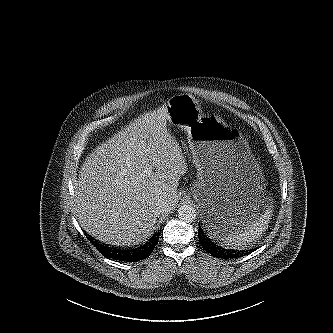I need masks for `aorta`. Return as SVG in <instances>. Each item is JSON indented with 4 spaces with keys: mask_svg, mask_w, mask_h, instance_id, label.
Here are the masks:
<instances>
[{
    "mask_svg": "<svg viewBox=\"0 0 333 333\" xmlns=\"http://www.w3.org/2000/svg\"><path fill=\"white\" fill-rule=\"evenodd\" d=\"M178 217L186 222H192L196 218V210L191 205H182L178 208Z\"/></svg>",
    "mask_w": 333,
    "mask_h": 333,
    "instance_id": "aorta-1",
    "label": "aorta"
}]
</instances>
